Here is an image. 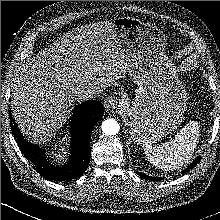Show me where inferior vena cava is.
Instances as JSON below:
<instances>
[{"label": "inferior vena cava", "instance_id": "inferior-vena-cava-1", "mask_svg": "<svg viewBox=\"0 0 220 220\" xmlns=\"http://www.w3.org/2000/svg\"><path fill=\"white\" fill-rule=\"evenodd\" d=\"M102 92L100 87H92V88H88L87 90H84L80 96L79 99L80 100H88V99H92L94 97H97L100 95V93Z\"/></svg>", "mask_w": 220, "mask_h": 220}]
</instances>
